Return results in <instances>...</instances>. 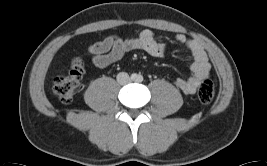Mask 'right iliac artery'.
<instances>
[{"label":"right iliac artery","instance_id":"right-iliac-artery-1","mask_svg":"<svg viewBox=\"0 0 267 166\" xmlns=\"http://www.w3.org/2000/svg\"><path fill=\"white\" fill-rule=\"evenodd\" d=\"M136 78H137V75H136V74H132V75H131V79H132V80H135Z\"/></svg>","mask_w":267,"mask_h":166}]
</instances>
